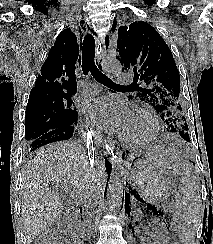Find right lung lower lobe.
Instances as JSON below:
<instances>
[{
	"label": "right lung lower lobe",
	"mask_w": 213,
	"mask_h": 244,
	"mask_svg": "<svg viewBox=\"0 0 213 244\" xmlns=\"http://www.w3.org/2000/svg\"><path fill=\"white\" fill-rule=\"evenodd\" d=\"M77 127L76 125L71 126H64L57 129L50 130L49 132L39 136L38 138L32 140L29 142V150L32 152L36 150L37 148L44 146L49 143L57 142V141H63V140H69ZM106 163V169L108 174L110 175V168L111 165L107 161V158H105Z\"/></svg>",
	"instance_id": "obj_1"
}]
</instances>
